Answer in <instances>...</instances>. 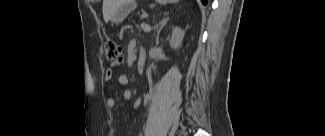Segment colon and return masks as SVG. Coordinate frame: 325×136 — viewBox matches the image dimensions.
Returning <instances> with one entry per match:
<instances>
[{
  "instance_id": "5ec220e1",
  "label": "colon",
  "mask_w": 325,
  "mask_h": 136,
  "mask_svg": "<svg viewBox=\"0 0 325 136\" xmlns=\"http://www.w3.org/2000/svg\"><path fill=\"white\" fill-rule=\"evenodd\" d=\"M106 57L110 61L121 60L122 58V49L120 45L115 42H108L105 45Z\"/></svg>"
}]
</instances>
